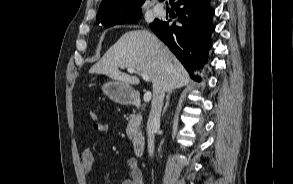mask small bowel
I'll use <instances>...</instances> for the list:
<instances>
[{
	"instance_id": "c3829d8e",
	"label": "small bowel",
	"mask_w": 293,
	"mask_h": 184,
	"mask_svg": "<svg viewBox=\"0 0 293 184\" xmlns=\"http://www.w3.org/2000/svg\"><path fill=\"white\" fill-rule=\"evenodd\" d=\"M109 124L105 122H96L93 125L95 132L105 133L109 130ZM82 170L85 174L90 173L95 165V157L91 147H85L80 154ZM128 176L121 184H144L141 169L135 158H129L126 161Z\"/></svg>"
}]
</instances>
